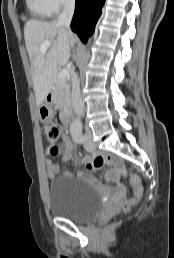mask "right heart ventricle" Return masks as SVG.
<instances>
[{
    "label": "right heart ventricle",
    "mask_w": 174,
    "mask_h": 258,
    "mask_svg": "<svg viewBox=\"0 0 174 258\" xmlns=\"http://www.w3.org/2000/svg\"><path fill=\"white\" fill-rule=\"evenodd\" d=\"M26 5L29 11L39 18H46L52 14L45 0H26Z\"/></svg>",
    "instance_id": "1"
}]
</instances>
